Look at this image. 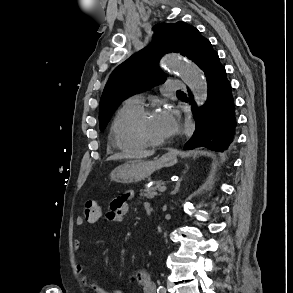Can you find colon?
Returning a JSON list of instances; mask_svg holds the SVG:
<instances>
[{"label": "colon", "mask_w": 293, "mask_h": 293, "mask_svg": "<svg viewBox=\"0 0 293 293\" xmlns=\"http://www.w3.org/2000/svg\"><path fill=\"white\" fill-rule=\"evenodd\" d=\"M101 206L96 202L89 200L84 205L83 216L88 223H96L101 216Z\"/></svg>", "instance_id": "1"}]
</instances>
